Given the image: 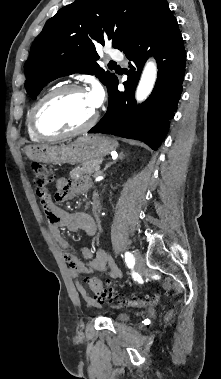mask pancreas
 <instances>
[{
    "label": "pancreas",
    "mask_w": 221,
    "mask_h": 379,
    "mask_svg": "<svg viewBox=\"0 0 221 379\" xmlns=\"http://www.w3.org/2000/svg\"><path fill=\"white\" fill-rule=\"evenodd\" d=\"M101 160H91L83 162L82 165L77 166L74 170L70 172L71 178H76L78 174H88L91 175L92 173L96 172L98 173V166L100 165Z\"/></svg>",
    "instance_id": "obj_1"
}]
</instances>
